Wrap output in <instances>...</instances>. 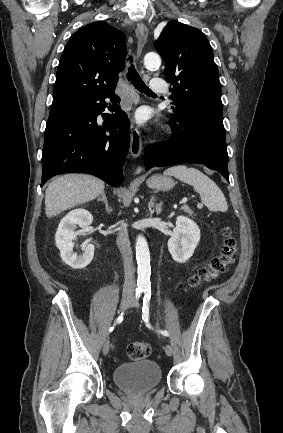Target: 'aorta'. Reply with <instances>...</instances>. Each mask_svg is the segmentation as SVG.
I'll return each mask as SVG.
<instances>
[{"label":"aorta","mask_w":283,"mask_h":433,"mask_svg":"<svg viewBox=\"0 0 283 433\" xmlns=\"http://www.w3.org/2000/svg\"><path fill=\"white\" fill-rule=\"evenodd\" d=\"M144 65L147 69H157L161 65L160 56L156 53H147L144 57ZM136 258L138 264V280L137 285L140 288H148L150 286V252L147 241L142 235L136 238Z\"/></svg>","instance_id":"aorta-1"}]
</instances>
